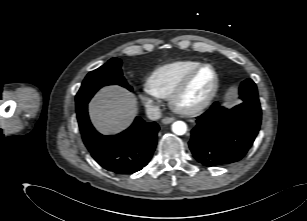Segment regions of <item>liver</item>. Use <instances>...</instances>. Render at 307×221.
Returning <instances> with one entry per match:
<instances>
[{
    "instance_id": "6515ba94",
    "label": "liver",
    "mask_w": 307,
    "mask_h": 221,
    "mask_svg": "<svg viewBox=\"0 0 307 221\" xmlns=\"http://www.w3.org/2000/svg\"><path fill=\"white\" fill-rule=\"evenodd\" d=\"M137 113L135 95L119 86L102 88L89 103L91 122L104 135L126 129Z\"/></svg>"
}]
</instances>
